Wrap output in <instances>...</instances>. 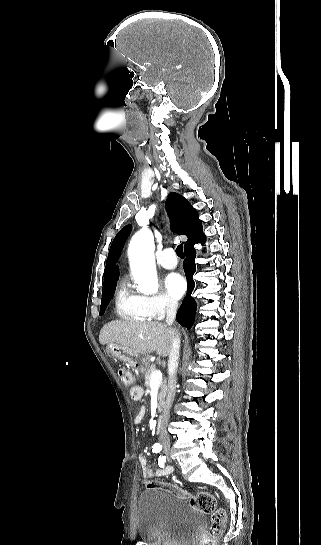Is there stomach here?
<instances>
[{"label": "stomach", "instance_id": "obj_1", "mask_svg": "<svg viewBox=\"0 0 321 545\" xmlns=\"http://www.w3.org/2000/svg\"><path fill=\"white\" fill-rule=\"evenodd\" d=\"M107 351L118 361H123V363H128L130 367L139 371V373H145L150 367V355L148 353H138L134 349H129V347H122V345H117V343H108Z\"/></svg>", "mask_w": 321, "mask_h": 545}]
</instances>
